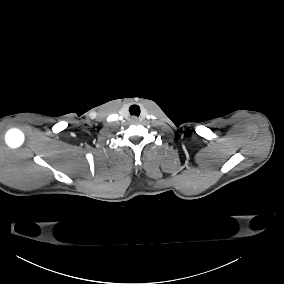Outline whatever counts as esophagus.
Segmentation results:
<instances>
[{
  "mask_svg": "<svg viewBox=\"0 0 284 284\" xmlns=\"http://www.w3.org/2000/svg\"><path fill=\"white\" fill-rule=\"evenodd\" d=\"M130 119H131L132 122H137L138 121V118L136 116H131Z\"/></svg>",
  "mask_w": 284,
  "mask_h": 284,
  "instance_id": "esophagus-1",
  "label": "esophagus"
}]
</instances>
